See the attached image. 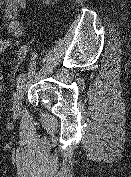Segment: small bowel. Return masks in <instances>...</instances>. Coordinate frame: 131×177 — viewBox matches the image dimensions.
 I'll list each match as a JSON object with an SVG mask.
<instances>
[{"label":"small bowel","mask_w":131,"mask_h":177,"mask_svg":"<svg viewBox=\"0 0 131 177\" xmlns=\"http://www.w3.org/2000/svg\"><path fill=\"white\" fill-rule=\"evenodd\" d=\"M26 8L27 0H6L5 17L8 20L7 28L12 38L7 40L0 39V52H3L8 47H15L18 55L25 54L27 48L20 42V38L24 34V27L18 20V14L20 10H25Z\"/></svg>","instance_id":"1"}]
</instances>
